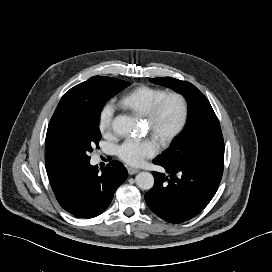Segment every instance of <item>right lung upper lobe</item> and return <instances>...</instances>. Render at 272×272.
<instances>
[{
  "instance_id": "cb5924a9",
  "label": "right lung upper lobe",
  "mask_w": 272,
  "mask_h": 272,
  "mask_svg": "<svg viewBox=\"0 0 272 272\" xmlns=\"http://www.w3.org/2000/svg\"><path fill=\"white\" fill-rule=\"evenodd\" d=\"M108 77L94 76L85 82H82L71 88L61 98L48 126L46 134V170L47 173L56 172L64 169L66 165L70 164L63 160L57 153L53 145V132L60 121L66 117L72 116L82 110L88 105L97 91L100 89L102 83Z\"/></svg>"
}]
</instances>
